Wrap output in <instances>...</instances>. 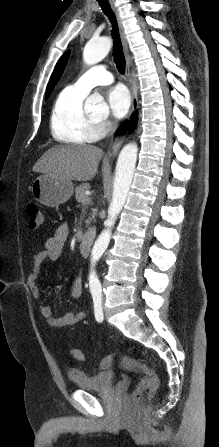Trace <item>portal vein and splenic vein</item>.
Masks as SVG:
<instances>
[{"label": "portal vein and splenic vein", "instance_id": "obj_1", "mask_svg": "<svg viewBox=\"0 0 219 447\" xmlns=\"http://www.w3.org/2000/svg\"><path fill=\"white\" fill-rule=\"evenodd\" d=\"M83 201L88 203V202L90 201V199H89V198H86V199H84Z\"/></svg>", "mask_w": 219, "mask_h": 447}]
</instances>
